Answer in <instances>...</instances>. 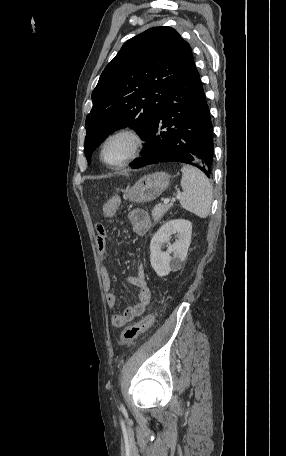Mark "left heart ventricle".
Instances as JSON below:
<instances>
[{
	"instance_id": "1",
	"label": "left heart ventricle",
	"mask_w": 286,
	"mask_h": 456,
	"mask_svg": "<svg viewBox=\"0 0 286 456\" xmlns=\"http://www.w3.org/2000/svg\"><path fill=\"white\" fill-rule=\"evenodd\" d=\"M135 145V140L129 135L116 136L107 143L104 159L111 164L121 163L132 155Z\"/></svg>"
}]
</instances>
